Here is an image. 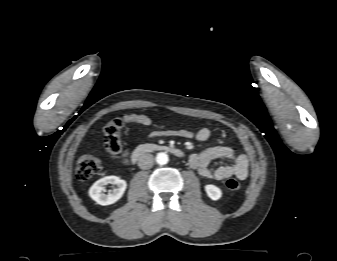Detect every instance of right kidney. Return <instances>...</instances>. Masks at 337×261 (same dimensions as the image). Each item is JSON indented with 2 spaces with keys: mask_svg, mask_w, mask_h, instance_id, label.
Masks as SVG:
<instances>
[{
  "mask_svg": "<svg viewBox=\"0 0 337 261\" xmlns=\"http://www.w3.org/2000/svg\"><path fill=\"white\" fill-rule=\"evenodd\" d=\"M112 184L116 186L108 194H104L105 186ZM127 188L125 180L117 176H107L97 180L89 189V196L100 205H110L118 201L124 194Z\"/></svg>",
  "mask_w": 337,
  "mask_h": 261,
  "instance_id": "ca27d5eb",
  "label": "right kidney"
}]
</instances>
